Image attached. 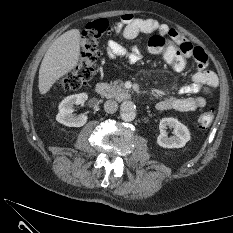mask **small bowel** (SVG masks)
Here are the masks:
<instances>
[{"label": "small bowel", "instance_id": "small-bowel-1", "mask_svg": "<svg viewBox=\"0 0 233 233\" xmlns=\"http://www.w3.org/2000/svg\"><path fill=\"white\" fill-rule=\"evenodd\" d=\"M115 32L126 40H132L139 34L158 33L169 37L180 49L186 58H193L198 66V71L192 76L191 82L180 87L179 96L167 97L156 104L159 111L176 110L180 112H191L203 108L207 104L205 96H191L203 93L212 96L218 88L217 75L208 70V56L201 47L194 46L191 42L181 36L175 29L155 19H144L134 14H124L121 20L115 24ZM107 54L110 58L120 56L128 62L135 64L141 60V52L137 47L126 48L117 41L107 43Z\"/></svg>", "mask_w": 233, "mask_h": 233}]
</instances>
